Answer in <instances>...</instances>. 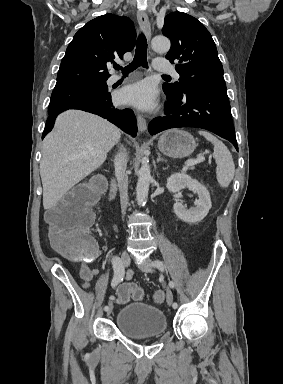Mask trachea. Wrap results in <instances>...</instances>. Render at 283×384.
<instances>
[{
    "instance_id": "1",
    "label": "trachea",
    "mask_w": 283,
    "mask_h": 384,
    "mask_svg": "<svg viewBox=\"0 0 283 384\" xmlns=\"http://www.w3.org/2000/svg\"><path fill=\"white\" fill-rule=\"evenodd\" d=\"M138 67L148 68L147 62V40L143 34L139 35L136 43L135 56L133 61L124 69L119 65L114 66L116 70H122L123 74L129 73ZM170 77V75H165Z\"/></svg>"
}]
</instances>
